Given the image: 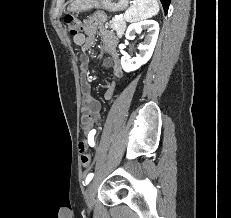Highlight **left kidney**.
Instances as JSON below:
<instances>
[{
	"instance_id": "obj_1",
	"label": "left kidney",
	"mask_w": 231,
	"mask_h": 218,
	"mask_svg": "<svg viewBox=\"0 0 231 218\" xmlns=\"http://www.w3.org/2000/svg\"><path fill=\"white\" fill-rule=\"evenodd\" d=\"M143 29H147V36L144 43L140 44L139 53L135 58L130 59L127 56H122L121 65L125 72H131L139 69L142 65L148 62L151 58L159 34V24L154 20H144L137 23H132L126 31V38L132 39L134 33H141Z\"/></svg>"
}]
</instances>
